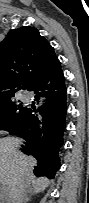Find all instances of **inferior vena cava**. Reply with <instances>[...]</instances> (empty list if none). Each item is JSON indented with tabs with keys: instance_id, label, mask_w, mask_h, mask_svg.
<instances>
[{
	"instance_id": "inferior-vena-cava-1",
	"label": "inferior vena cava",
	"mask_w": 89,
	"mask_h": 203,
	"mask_svg": "<svg viewBox=\"0 0 89 203\" xmlns=\"http://www.w3.org/2000/svg\"><path fill=\"white\" fill-rule=\"evenodd\" d=\"M17 203H24V192L22 191L17 199Z\"/></svg>"
}]
</instances>
